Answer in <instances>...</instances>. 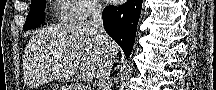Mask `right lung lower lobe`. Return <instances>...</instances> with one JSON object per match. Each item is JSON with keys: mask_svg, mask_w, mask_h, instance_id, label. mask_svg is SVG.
<instances>
[{"mask_svg": "<svg viewBox=\"0 0 216 90\" xmlns=\"http://www.w3.org/2000/svg\"><path fill=\"white\" fill-rule=\"evenodd\" d=\"M142 0H128L125 4L104 9L102 18L105 31L120 45L129 57L134 45Z\"/></svg>", "mask_w": 216, "mask_h": 90, "instance_id": "obj_1", "label": "right lung lower lobe"}]
</instances>
